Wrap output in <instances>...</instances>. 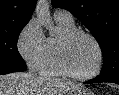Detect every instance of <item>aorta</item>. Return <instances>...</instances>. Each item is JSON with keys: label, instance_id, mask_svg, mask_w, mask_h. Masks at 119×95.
I'll list each match as a JSON object with an SVG mask.
<instances>
[{"label": "aorta", "instance_id": "1", "mask_svg": "<svg viewBox=\"0 0 119 95\" xmlns=\"http://www.w3.org/2000/svg\"><path fill=\"white\" fill-rule=\"evenodd\" d=\"M35 12H36L37 18L42 21L46 29L49 30V32H53L55 28L50 19V10H49L48 1L39 0L37 2Z\"/></svg>", "mask_w": 119, "mask_h": 95}]
</instances>
